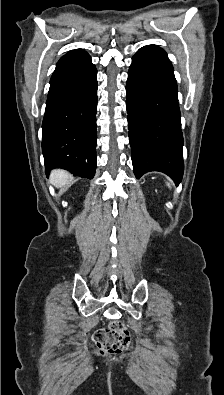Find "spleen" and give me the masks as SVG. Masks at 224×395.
Returning a JSON list of instances; mask_svg holds the SVG:
<instances>
[{"mask_svg":"<svg viewBox=\"0 0 224 395\" xmlns=\"http://www.w3.org/2000/svg\"><path fill=\"white\" fill-rule=\"evenodd\" d=\"M168 187H170V183H167Z\"/></svg>","mask_w":224,"mask_h":395,"instance_id":"1","label":"spleen"}]
</instances>
